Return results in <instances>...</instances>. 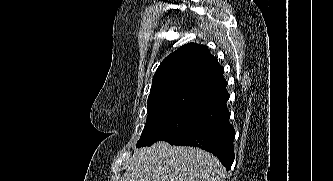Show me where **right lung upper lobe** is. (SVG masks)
I'll return each instance as SVG.
<instances>
[{"instance_id":"right-lung-upper-lobe-1","label":"right lung upper lobe","mask_w":333,"mask_h":181,"mask_svg":"<svg viewBox=\"0 0 333 181\" xmlns=\"http://www.w3.org/2000/svg\"><path fill=\"white\" fill-rule=\"evenodd\" d=\"M223 67L208 48L188 43L167 56L152 81L148 109L188 106L209 110L227 102Z\"/></svg>"}]
</instances>
